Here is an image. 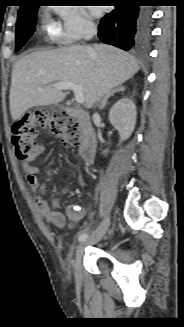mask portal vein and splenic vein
<instances>
[{
	"instance_id": "1",
	"label": "portal vein and splenic vein",
	"mask_w": 184,
	"mask_h": 327,
	"mask_svg": "<svg viewBox=\"0 0 184 327\" xmlns=\"http://www.w3.org/2000/svg\"><path fill=\"white\" fill-rule=\"evenodd\" d=\"M53 87L57 90H72L74 92L75 100L78 104H82L84 102V95L81 87L73 82H62L55 83ZM42 91L41 88H39Z\"/></svg>"
}]
</instances>
